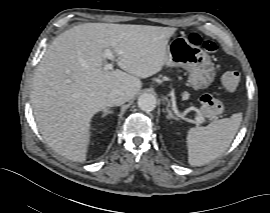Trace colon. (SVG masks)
Segmentation results:
<instances>
[{
    "mask_svg": "<svg viewBox=\"0 0 270 213\" xmlns=\"http://www.w3.org/2000/svg\"><path fill=\"white\" fill-rule=\"evenodd\" d=\"M189 42L192 45H199L202 42L200 34L193 32L189 35ZM204 48L208 52L217 50V45L211 40L204 42ZM240 81V74L237 70L226 72L221 77V84L227 91H233L237 88ZM224 109L222 102L212 95L206 94L201 97V112L206 117H214L220 114Z\"/></svg>",
    "mask_w": 270,
    "mask_h": 213,
    "instance_id": "5ec220e1",
    "label": "colon"
}]
</instances>
